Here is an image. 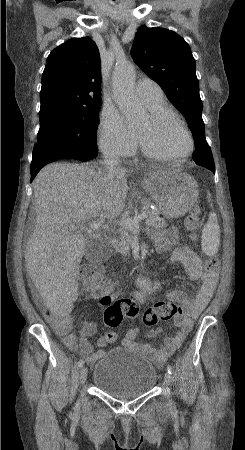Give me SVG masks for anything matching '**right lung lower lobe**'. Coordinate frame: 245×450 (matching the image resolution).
<instances>
[{
  "label": "right lung lower lobe",
  "mask_w": 245,
  "mask_h": 450,
  "mask_svg": "<svg viewBox=\"0 0 245 450\" xmlns=\"http://www.w3.org/2000/svg\"><path fill=\"white\" fill-rule=\"evenodd\" d=\"M96 152H89V151H83V152H63L58 153L49 157H46L42 159L40 162H38L36 165H31V181L35 178L37 173L40 171V169L47 163L57 160V159H65V158H71V159H77L81 161H88L92 159Z\"/></svg>",
  "instance_id": "98d812e1"
}]
</instances>
